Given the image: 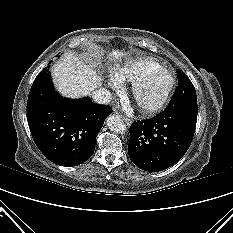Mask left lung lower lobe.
Masks as SVG:
<instances>
[{"label": "left lung lower lobe", "mask_w": 233, "mask_h": 233, "mask_svg": "<svg viewBox=\"0 0 233 233\" xmlns=\"http://www.w3.org/2000/svg\"><path fill=\"white\" fill-rule=\"evenodd\" d=\"M198 107L167 106L157 116L134 122L130 126L128 153L140 169L150 172L165 170L189 149L192 142Z\"/></svg>", "instance_id": "obj_1"}]
</instances>
